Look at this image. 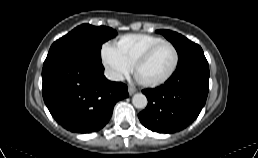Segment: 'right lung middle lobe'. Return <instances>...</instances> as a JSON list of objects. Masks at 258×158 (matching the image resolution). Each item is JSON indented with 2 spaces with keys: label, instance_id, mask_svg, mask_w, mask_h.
I'll return each mask as SVG.
<instances>
[{
  "label": "right lung middle lobe",
  "instance_id": "right-lung-middle-lobe-1",
  "mask_svg": "<svg viewBox=\"0 0 258 158\" xmlns=\"http://www.w3.org/2000/svg\"><path fill=\"white\" fill-rule=\"evenodd\" d=\"M114 36L115 30L110 27L82 24L56 40L46 59L63 54H79L101 61L102 44Z\"/></svg>",
  "mask_w": 258,
  "mask_h": 158
}]
</instances>
